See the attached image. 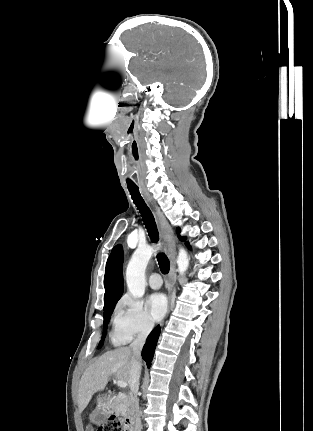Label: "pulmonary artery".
<instances>
[{"label":"pulmonary artery","mask_w":313,"mask_h":431,"mask_svg":"<svg viewBox=\"0 0 313 431\" xmlns=\"http://www.w3.org/2000/svg\"><path fill=\"white\" fill-rule=\"evenodd\" d=\"M149 286L152 289H159L162 286V279L158 273H152L148 279Z\"/></svg>","instance_id":"pulmonary-artery-1"}]
</instances>
